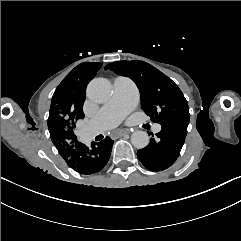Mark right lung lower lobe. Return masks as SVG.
<instances>
[{
    "mask_svg": "<svg viewBox=\"0 0 241 241\" xmlns=\"http://www.w3.org/2000/svg\"><path fill=\"white\" fill-rule=\"evenodd\" d=\"M114 141L110 137L95 143L90 147L74 141L67 146L58 147L62 158L69 167L80 174L90 175L101 171L107 164Z\"/></svg>",
    "mask_w": 241,
    "mask_h": 241,
    "instance_id": "obj_1",
    "label": "right lung lower lobe"
}]
</instances>
